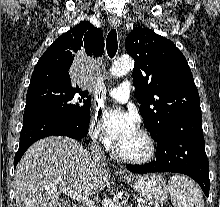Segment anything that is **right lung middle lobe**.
Masks as SVG:
<instances>
[{"label":"right lung middle lobe","instance_id":"1","mask_svg":"<svg viewBox=\"0 0 220 207\" xmlns=\"http://www.w3.org/2000/svg\"><path fill=\"white\" fill-rule=\"evenodd\" d=\"M91 98L88 91L72 85L38 83L29 86L25 111L46 109L80 120H89Z\"/></svg>","mask_w":220,"mask_h":207}]
</instances>
